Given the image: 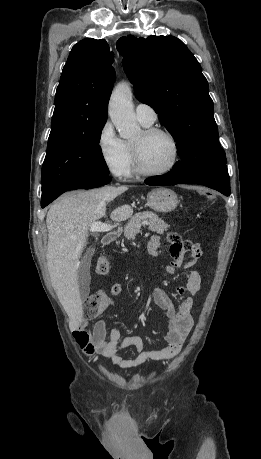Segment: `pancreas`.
Listing matches in <instances>:
<instances>
[{"label": "pancreas", "mask_w": 261, "mask_h": 459, "mask_svg": "<svg viewBox=\"0 0 261 459\" xmlns=\"http://www.w3.org/2000/svg\"><path fill=\"white\" fill-rule=\"evenodd\" d=\"M146 220L149 222V230L158 234H163L169 228V225L160 219L158 215L151 211H144L135 214L129 220L124 228V236L128 240H134L136 234L140 232L143 222Z\"/></svg>", "instance_id": "1"}]
</instances>
